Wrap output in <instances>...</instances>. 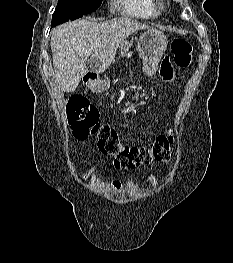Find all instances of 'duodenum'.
<instances>
[{
  "label": "duodenum",
  "instance_id": "obj_1",
  "mask_svg": "<svg viewBox=\"0 0 233 263\" xmlns=\"http://www.w3.org/2000/svg\"><path fill=\"white\" fill-rule=\"evenodd\" d=\"M86 79H87L88 81H96L97 75L94 74V73H89V74L87 75Z\"/></svg>",
  "mask_w": 233,
  "mask_h": 263
}]
</instances>
